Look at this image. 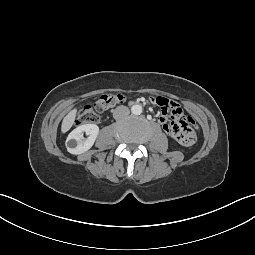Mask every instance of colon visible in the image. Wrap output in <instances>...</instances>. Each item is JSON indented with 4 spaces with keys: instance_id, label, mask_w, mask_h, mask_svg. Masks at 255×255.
<instances>
[{
    "instance_id": "obj_1",
    "label": "colon",
    "mask_w": 255,
    "mask_h": 255,
    "mask_svg": "<svg viewBox=\"0 0 255 255\" xmlns=\"http://www.w3.org/2000/svg\"><path fill=\"white\" fill-rule=\"evenodd\" d=\"M122 100L123 96L121 94L106 93L101 95L93 105L85 106L79 111L77 117V124L83 125L97 122L99 120L98 113L108 111L116 104L122 102ZM184 117L187 119V122L192 128L194 127L195 130H198V127L193 121V119H191L190 117H186L185 115Z\"/></svg>"
}]
</instances>
